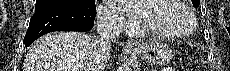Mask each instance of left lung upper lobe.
I'll use <instances>...</instances> for the list:
<instances>
[{
  "label": "left lung upper lobe",
  "instance_id": "obj_1",
  "mask_svg": "<svg viewBox=\"0 0 230 71\" xmlns=\"http://www.w3.org/2000/svg\"><path fill=\"white\" fill-rule=\"evenodd\" d=\"M192 3L194 5V7H198L200 4V0H192Z\"/></svg>",
  "mask_w": 230,
  "mask_h": 71
}]
</instances>
